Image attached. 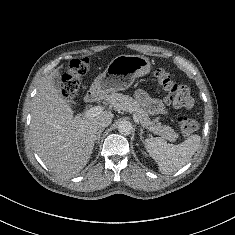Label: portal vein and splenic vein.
<instances>
[{"instance_id": "1", "label": "portal vein and splenic vein", "mask_w": 235, "mask_h": 235, "mask_svg": "<svg viewBox=\"0 0 235 235\" xmlns=\"http://www.w3.org/2000/svg\"><path fill=\"white\" fill-rule=\"evenodd\" d=\"M102 111H103L102 106H95V107H92V108L88 109L85 112L84 116H86V117H95V116L99 115ZM133 119L136 123H139V119H138V117L135 113L133 114Z\"/></svg>"}]
</instances>
